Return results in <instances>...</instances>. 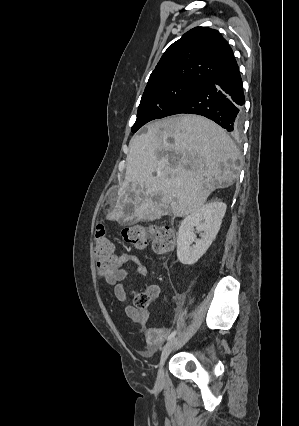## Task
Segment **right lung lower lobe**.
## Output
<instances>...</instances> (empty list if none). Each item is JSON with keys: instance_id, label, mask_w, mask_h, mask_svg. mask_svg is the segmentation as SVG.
<instances>
[{"instance_id": "obj_1", "label": "right lung lower lobe", "mask_w": 299, "mask_h": 426, "mask_svg": "<svg viewBox=\"0 0 299 426\" xmlns=\"http://www.w3.org/2000/svg\"><path fill=\"white\" fill-rule=\"evenodd\" d=\"M245 103L242 80L235 63L169 107L160 118L175 114L205 116L230 132H238Z\"/></svg>"}]
</instances>
